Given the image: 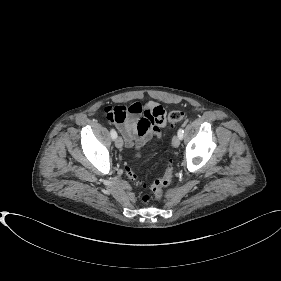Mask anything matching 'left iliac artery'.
<instances>
[{
  "label": "left iliac artery",
  "instance_id": "obj_1",
  "mask_svg": "<svg viewBox=\"0 0 281 281\" xmlns=\"http://www.w3.org/2000/svg\"><path fill=\"white\" fill-rule=\"evenodd\" d=\"M183 134H184V130L182 128H180L178 130V136L182 139L183 138Z\"/></svg>",
  "mask_w": 281,
  "mask_h": 281
}]
</instances>
